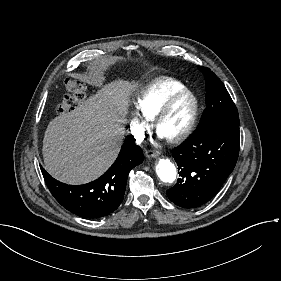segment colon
<instances>
[{"mask_svg": "<svg viewBox=\"0 0 281 281\" xmlns=\"http://www.w3.org/2000/svg\"><path fill=\"white\" fill-rule=\"evenodd\" d=\"M66 94L58 105V110L62 114H68L76 110V108L85 100V86L77 79L68 77L65 81Z\"/></svg>", "mask_w": 281, "mask_h": 281, "instance_id": "obj_1", "label": "colon"}]
</instances>
